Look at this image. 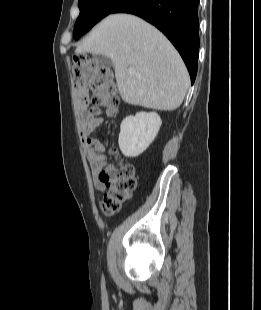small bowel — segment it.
Here are the masks:
<instances>
[{
  "instance_id": "c3829d8e",
  "label": "small bowel",
  "mask_w": 261,
  "mask_h": 310,
  "mask_svg": "<svg viewBox=\"0 0 261 310\" xmlns=\"http://www.w3.org/2000/svg\"><path fill=\"white\" fill-rule=\"evenodd\" d=\"M76 94L80 100L81 108L78 115V123L81 131V137L85 144V153L89 161L90 170L93 178L94 186L97 190L103 191L105 189L104 183L100 180V174L105 167V146L92 134L99 127L101 123L100 118H95L90 112L83 107L89 99V91L85 86L77 85Z\"/></svg>"
}]
</instances>
